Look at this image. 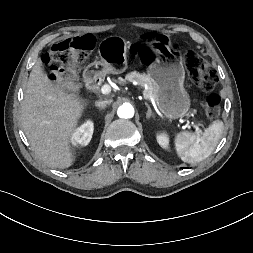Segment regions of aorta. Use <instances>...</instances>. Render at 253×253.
<instances>
[{
	"mask_svg": "<svg viewBox=\"0 0 253 253\" xmlns=\"http://www.w3.org/2000/svg\"><path fill=\"white\" fill-rule=\"evenodd\" d=\"M117 115L120 118L125 119L132 118L134 116V108L131 104L128 103L123 104L118 108Z\"/></svg>",
	"mask_w": 253,
	"mask_h": 253,
	"instance_id": "aorta-1",
	"label": "aorta"
}]
</instances>
